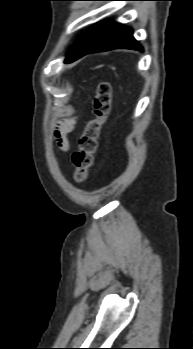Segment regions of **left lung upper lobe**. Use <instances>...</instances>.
<instances>
[{"label": "left lung upper lobe", "mask_w": 193, "mask_h": 349, "mask_svg": "<svg viewBox=\"0 0 193 349\" xmlns=\"http://www.w3.org/2000/svg\"><path fill=\"white\" fill-rule=\"evenodd\" d=\"M82 37V35L79 36L78 40L75 42V44L80 40V38ZM75 44L73 45V47L75 46ZM72 47V48H73Z\"/></svg>", "instance_id": "5c2ea615"}]
</instances>
